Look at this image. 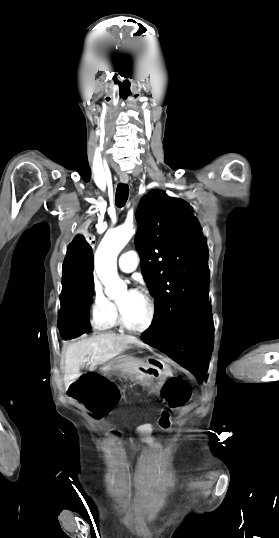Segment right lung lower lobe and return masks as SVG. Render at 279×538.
<instances>
[{
	"instance_id": "obj_1",
	"label": "right lung lower lobe",
	"mask_w": 279,
	"mask_h": 538,
	"mask_svg": "<svg viewBox=\"0 0 279 538\" xmlns=\"http://www.w3.org/2000/svg\"><path fill=\"white\" fill-rule=\"evenodd\" d=\"M93 251L82 236L68 246L63 263L58 328L65 340L89 332L88 307L93 296Z\"/></svg>"
}]
</instances>
